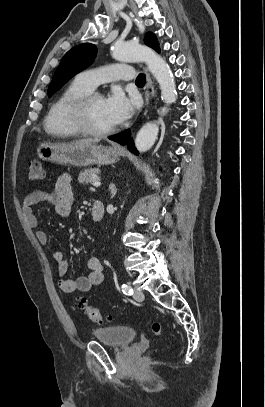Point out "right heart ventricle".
<instances>
[{"label":"right heart ventricle","instance_id":"1","mask_svg":"<svg viewBox=\"0 0 265 407\" xmlns=\"http://www.w3.org/2000/svg\"><path fill=\"white\" fill-rule=\"evenodd\" d=\"M89 92L76 79L68 84L49 107L44 119L46 133L57 138L78 137L80 134L68 122L67 109L72 101Z\"/></svg>","mask_w":265,"mask_h":407}]
</instances>
